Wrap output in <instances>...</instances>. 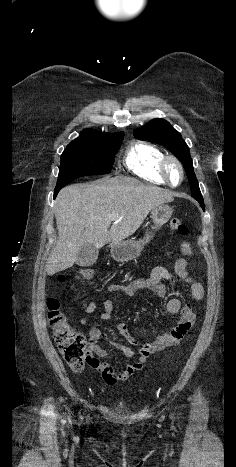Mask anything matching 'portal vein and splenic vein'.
<instances>
[{
	"label": "portal vein and splenic vein",
	"mask_w": 236,
	"mask_h": 467,
	"mask_svg": "<svg viewBox=\"0 0 236 467\" xmlns=\"http://www.w3.org/2000/svg\"><path fill=\"white\" fill-rule=\"evenodd\" d=\"M110 218H111V219H114V216H111Z\"/></svg>",
	"instance_id": "1"
}]
</instances>
